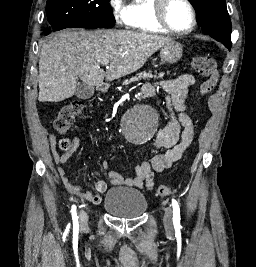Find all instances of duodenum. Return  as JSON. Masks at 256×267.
Wrapping results in <instances>:
<instances>
[{
  "label": "duodenum",
  "instance_id": "1",
  "mask_svg": "<svg viewBox=\"0 0 256 267\" xmlns=\"http://www.w3.org/2000/svg\"><path fill=\"white\" fill-rule=\"evenodd\" d=\"M153 83L152 82H142L140 89L142 90V93H146L147 87H152ZM98 90H103L102 92L104 93V90H111V81H98ZM141 99H146L147 95L146 94H141L140 95Z\"/></svg>",
  "mask_w": 256,
  "mask_h": 267
}]
</instances>
